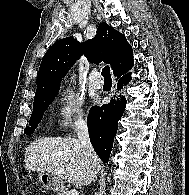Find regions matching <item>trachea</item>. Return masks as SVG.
<instances>
[{
  "mask_svg": "<svg viewBox=\"0 0 189 195\" xmlns=\"http://www.w3.org/2000/svg\"><path fill=\"white\" fill-rule=\"evenodd\" d=\"M101 75L104 77V81H111L110 67L105 66L102 69Z\"/></svg>",
  "mask_w": 189,
  "mask_h": 195,
  "instance_id": "trachea-1",
  "label": "trachea"
}]
</instances>
